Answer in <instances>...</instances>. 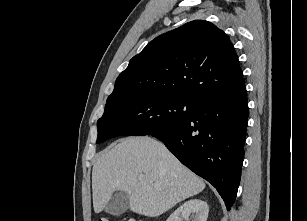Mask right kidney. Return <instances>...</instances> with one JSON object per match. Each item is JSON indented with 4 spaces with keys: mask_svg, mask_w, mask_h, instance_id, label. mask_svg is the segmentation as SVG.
<instances>
[{
    "mask_svg": "<svg viewBox=\"0 0 307 221\" xmlns=\"http://www.w3.org/2000/svg\"><path fill=\"white\" fill-rule=\"evenodd\" d=\"M208 212L209 207L205 201L191 199L177 208V210L169 216L167 221L189 220L190 216L192 221H207Z\"/></svg>",
    "mask_w": 307,
    "mask_h": 221,
    "instance_id": "ca27d5eb",
    "label": "right kidney"
}]
</instances>
